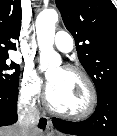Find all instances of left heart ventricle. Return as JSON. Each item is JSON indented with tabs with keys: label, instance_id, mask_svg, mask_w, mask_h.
I'll return each mask as SVG.
<instances>
[{
	"label": "left heart ventricle",
	"instance_id": "b2bd125f",
	"mask_svg": "<svg viewBox=\"0 0 117 136\" xmlns=\"http://www.w3.org/2000/svg\"><path fill=\"white\" fill-rule=\"evenodd\" d=\"M49 80L54 81L53 87L49 89V101L54 108L78 113L87 107L88 90L78 75L57 68L50 72Z\"/></svg>",
	"mask_w": 117,
	"mask_h": 136
}]
</instances>
